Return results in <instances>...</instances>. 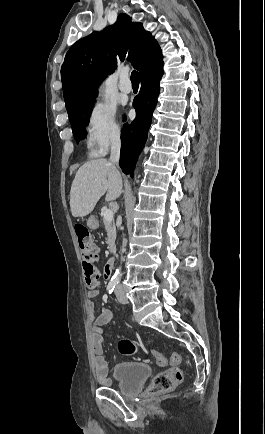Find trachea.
Masks as SVG:
<instances>
[{
	"mask_svg": "<svg viewBox=\"0 0 265 434\" xmlns=\"http://www.w3.org/2000/svg\"><path fill=\"white\" fill-rule=\"evenodd\" d=\"M131 81L132 84H139V73L135 70L131 73Z\"/></svg>",
	"mask_w": 265,
	"mask_h": 434,
	"instance_id": "obj_1",
	"label": "trachea"
}]
</instances>
